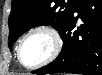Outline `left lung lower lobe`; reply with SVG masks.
Masks as SVG:
<instances>
[{
    "instance_id": "1",
    "label": "left lung lower lobe",
    "mask_w": 102,
    "mask_h": 75,
    "mask_svg": "<svg viewBox=\"0 0 102 75\" xmlns=\"http://www.w3.org/2000/svg\"><path fill=\"white\" fill-rule=\"evenodd\" d=\"M79 18L82 23L77 25ZM76 27L77 30H74ZM59 33L63 40L59 56L32 73L102 75L101 0H80L73 13L62 24Z\"/></svg>"
}]
</instances>
